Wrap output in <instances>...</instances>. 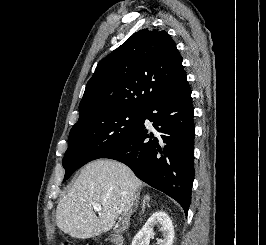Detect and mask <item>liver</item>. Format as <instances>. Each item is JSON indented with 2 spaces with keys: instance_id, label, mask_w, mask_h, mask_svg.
Here are the masks:
<instances>
[{
  "instance_id": "liver-1",
  "label": "liver",
  "mask_w": 266,
  "mask_h": 245,
  "mask_svg": "<svg viewBox=\"0 0 266 245\" xmlns=\"http://www.w3.org/2000/svg\"><path fill=\"white\" fill-rule=\"evenodd\" d=\"M142 183L133 171L112 159H97L85 165L57 205L60 231L74 239H91L107 233L133 207ZM93 203L101 205L99 217Z\"/></svg>"
}]
</instances>
